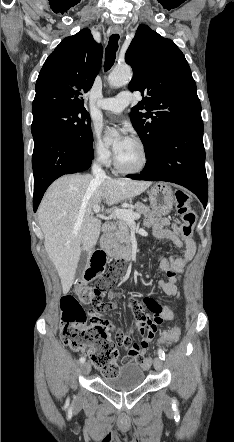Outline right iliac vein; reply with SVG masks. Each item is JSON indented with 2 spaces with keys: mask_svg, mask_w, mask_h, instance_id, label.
<instances>
[{
  "mask_svg": "<svg viewBox=\"0 0 234 442\" xmlns=\"http://www.w3.org/2000/svg\"><path fill=\"white\" fill-rule=\"evenodd\" d=\"M91 371V366L88 362H85L81 366V372L83 375H88Z\"/></svg>",
  "mask_w": 234,
  "mask_h": 442,
  "instance_id": "obj_1",
  "label": "right iliac vein"
}]
</instances>
